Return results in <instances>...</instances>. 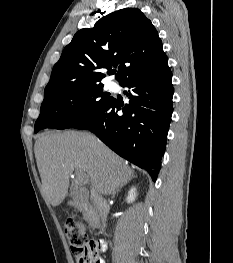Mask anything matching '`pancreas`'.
<instances>
[{
	"mask_svg": "<svg viewBox=\"0 0 233 263\" xmlns=\"http://www.w3.org/2000/svg\"><path fill=\"white\" fill-rule=\"evenodd\" d=\"M89 222H92V219H91V218L89 219Z\"/></svg>",
	"mask_w": 233,
	"mask_h": 263,
	"instance_id": "cf45deb5",
	"label": "pancreas"
}]
</instances>
